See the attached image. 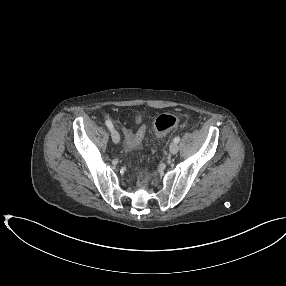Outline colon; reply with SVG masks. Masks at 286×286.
Returning a JSON list of instances; mask_svg holds the SVG:
<instances>
[{"instance_id":"obj_1","label":"colon","mask_w":286,"mask_h":286,"mask_svg":"<svg viewBox=\"0 0 286 286\" xmlns=\"http://www.w3.org/2000/svg\"><path fill=\"white\" fill-rule=\"evenodd\" d=\"M178 124V118L172 114L160 115L154 123V133L161 138ZM145 136V128L141 127L136 133L126 139V150L130 151L139 147Z\"/></svg>"}]
</instances>
